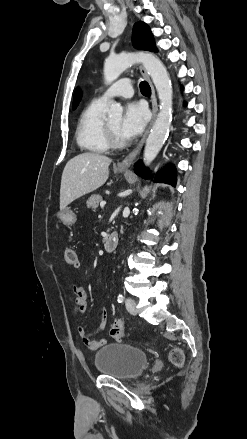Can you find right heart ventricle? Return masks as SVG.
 Listing matches in <instances>:
<instances>
[{"label": "right heart ventricle", "instance_id": "e07e8e85", "mask_svg": "<svg viewBox=\"0 0 247 439\" xmlns=\"http://www.w3.org/2000/svg\"><path fill=\"white\" fill-rule=\"evenodd\" d=\"M105 108L106 103L94 99L81 112L76 128V141L82 150L104 153L111 148L105 135Z\"/></svg>", "mask_w": 247, "mask_h": 439}]
</instances>
